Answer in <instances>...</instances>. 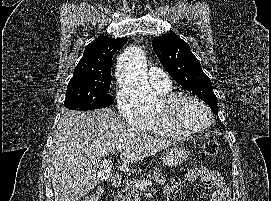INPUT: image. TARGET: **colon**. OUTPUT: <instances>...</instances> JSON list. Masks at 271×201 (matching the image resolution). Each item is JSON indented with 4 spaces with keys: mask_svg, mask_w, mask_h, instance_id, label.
<instances>
[{
    "mask_svg": "<svg viewBox=\"0 0 271 201\" xmlns=\"http://www.w3.org/2000/svg\"><path fill=\"white\" fill-rule=\"evenodd\" d=\"M202 152L204 155L213 157L218 153V143L215 141H207L202 145ZM102 191L97 189L92 194L83 198L82 201H100Z\"/></svg>",
    "mask_w": 271,
    "mask_h": 201,
    "instance_id": "colon-1",
    "label": "colon"
}]
</instances>
